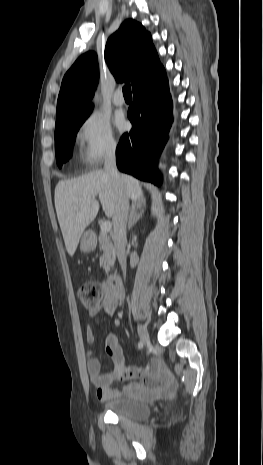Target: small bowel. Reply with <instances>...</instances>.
<instances>
[{"mask_svg": "<svg viewBox=\"0 0 263 465\" xmlns=\"http://www.w3.org/2000/svg\"><path fill=\"white\" fill-rule=\"evenodd\" d=\"M118 305V298L109 292L103 302L89 309L91 317L97 316L100 312L112 315ZM95 334L92 326L86 328V341L92 344ZM107 355L113 363L111 373H102L101 363L91 351L88 352L87 370L93 386L96 388L97 397L100 400H108L124 395L143 399H154L162 395L172 393L173 384L170 372L158 361L150 360L143 367H127L124 363L122 348L114 335L107 337L105 341ZM130 381V384L117 388L113 386L115 381Z\"/></svg>", "mask_w": 263, "mask_h": 465, "instance_id": "small-bowel-1", "label": "small bowel"}]
</instances>
